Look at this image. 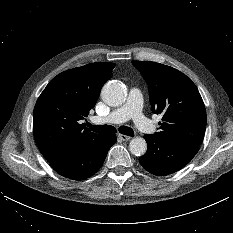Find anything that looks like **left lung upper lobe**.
Wrapping results in <instances>:
<instances>
[{
    "mask_svg": "<svg viewBox=\"0 0 233 233\" xmlns=\"http://www.w3.org/2000/svg\"><path fill=\"white\" fill-rule=\"evenodd\" d=\"M149 86L154 113H162L160 131L167 142L200 146L206 129V110L195 84L182 72L150 61H132Z\"/></svg>",
    "mask_w": 233,
    "mask_h": 233,
    "instance_id": "obj_1",
    "label": "left lung upper lobe"
}]
</instances>
